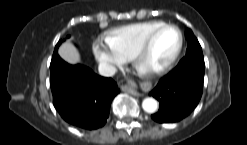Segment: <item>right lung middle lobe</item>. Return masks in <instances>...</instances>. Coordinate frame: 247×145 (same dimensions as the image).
<instances>
[{
  "label": "right lung middle lobe",
  "mask_w": 247,
  "mask_h": 145,
  "mask_svg": "<svg viewBox=\"0 0 247 145\" xmlns=\"http://www.w3.org/2000/svg\"><path fill=\"white\" fill-rule=\"evenodd\" d=\"M62 43V40H60L58 43H57V45H56V47H55V51H54V54H57V49H58V47H59V45Z\"/></svg>",
  "instance_id": "obj_1"
}]
</instances>
